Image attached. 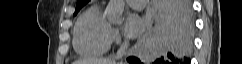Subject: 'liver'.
<instances>
[{"instance_id":"6515ba94","label":"liver","mask_w":242,"mask_h":64,"mask_svg":"<svg viewBox=\"0 0 242 64\" xmlns=\"http://www.w3.org/2000/svg\"><path fill=\"white\" fill-rule=\"evenodd\" d=\"M73 64H116V62L113 59L100 58V59H80L75 61Z\"/></svg>"}]
</instances>
